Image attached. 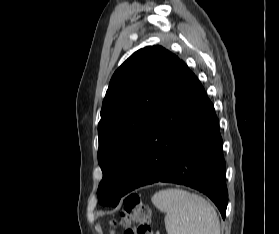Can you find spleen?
<instances>
[{
	"label": "spleen",
	"instance_id": "3e777b00",
	"mask_svg": "<svg viewBox=\"0 0 279 234\" xmlns=\"http://www.w3.org/2000/svg\"><path fill=\"white\" fill-rule=\"evenodd\" d=\"M165 215L168 234H220L214 207L203 197L181 189H165L152 196Z\"/></svg>",
	"mask_w": 279,
	"mask_h": 234
}]
</instances>
